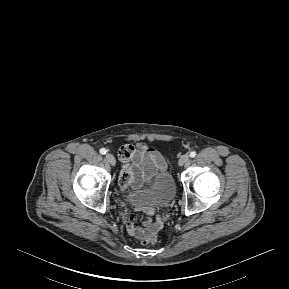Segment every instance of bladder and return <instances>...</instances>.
Returning <instances> with one entry per match:
<instances>
[{
	"label": "bladder",
	"mask_w": 289,
	"mask_h": 289,
	"mask_svg": "<svg viewBox=\"0 0 289 289\" xmlns=\"http://www.w3.org/2000/svg\"><path fill=\"white\" fill-rule=\"evenodd\" d=\"M176 195V183L169 170H164L155 174L151 187L144 193L136 192L127 197L120 196L123 202L133 204L154 203L158 206L169 205Z\"/></svg>",
	"instance_id": "obj_1"
}]
</instances>
